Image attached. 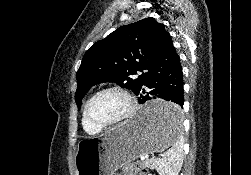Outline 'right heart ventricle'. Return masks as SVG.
<instances>
[{"label": "right heart ventricle", "instance_id": "obj_1", "mask_svg": "<svg viewBox=\"0 0 251 175\" xmlns=\"http://www.w3.org/2000/svg\"><path fill=\"white\" fill-rule=\"evenodd\" d=\"M82 127L84 131L89 135H98L101 133L102 129L93 126L90 122L85 119L84 112L82 116Z\"/></svg>", "mask_w": 251, "mask_h": 175}]
</instances>
